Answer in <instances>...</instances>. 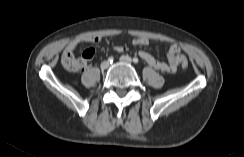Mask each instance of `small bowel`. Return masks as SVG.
Returning <instances> with one entry per match:
<instances>
[{
    "instance_id": "c3829d8e",
    "label": "small bowel",
    "mask_w": 244,
    "mask_h": 157,
    "mask_svg": "<svg viewBox=\"0 0 244 157\" xmlns=\"http://www.w3.org/2000/svg\"><path fill=\"white\" fill-rule=\"evenodd\" d=\"M100 42H101V38L97 36L76 38L68 43L66 49L70 51H74L79 45L83 43H100ZM131 42L135 46L149 45V40L145 37H136L132 39ZM113 49L117 52H124L127 50V48L122 45L114 46ZM87 51L91 52V56L86 58L87 60H89L94 56L95 51L93 49H87L84 51L83 54H85ZM180 52H181L180 48L176 43H170L167 62L156 60L150 53L143 50L139 51L138 55L150 67L164 73H174L177 71L181 62L182 55Z\"/></svg>"
}]
</instances>
